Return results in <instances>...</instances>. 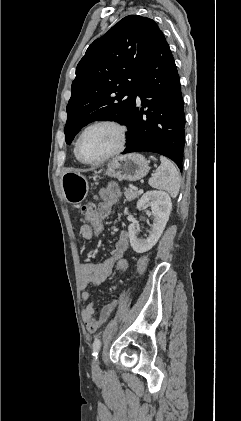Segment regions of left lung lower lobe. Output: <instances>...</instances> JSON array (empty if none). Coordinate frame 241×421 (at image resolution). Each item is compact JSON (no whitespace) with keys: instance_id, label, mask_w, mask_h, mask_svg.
I'll return each mask as SVG.
<instances>
[{"instance_id":"1","label":"left lung lower lobe","mask_w":241,"mask_h":421,"mask_svg":"<svg viewBox=\"0 0 241 421\" xmlns=\"http://www.w3.org/2000/svg\"><path fill=\"white\" fill-rule=\"evenodd\" d=\"M136 91L141 106L135 103L123 154L158 153L173 160L182 171L184 101L175 61L162 31L139 74Z\"/></svg>"}]
</instances>
